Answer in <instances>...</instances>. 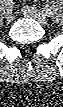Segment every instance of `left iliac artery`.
<instances>
[{
  "label": "left iliac artery",
  "mask_w": 63,
  "mask_h": 107,
  "mask_svg": "<svg viewBox=\"0 0 63 107\" xmlns=\"http://www.w3.org/2000/svg\"><path fill=\"white\" fill-rule=\"evenodd\" d=\"M45 16H50L52 14V10L49 6L45 7L43 10Z\"/></svg>",
  "instance_id": "1"
}]
</instances>
